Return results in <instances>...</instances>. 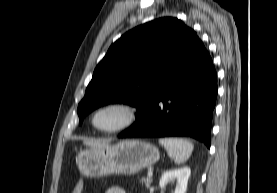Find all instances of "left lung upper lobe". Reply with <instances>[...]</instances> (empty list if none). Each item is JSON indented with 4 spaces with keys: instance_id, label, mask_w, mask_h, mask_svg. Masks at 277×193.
<instances>
[{
    "instance_id": "left-lung-upper-lobe-1",
    "label": "left lung upper lobe",
    "mask_w": 277,
    "mask_h": 193,
    "mask_svg": "<svg viewBox=\"0 0 277 193\" xmlns=\"http://www.w3.org/2000/svg\"><path fill=\"white\" fill-rule=\"evenodd\" d=\"M197 40L191 28L172 17L125 33L97 65L78 105L79 124L92 110L108 103L130 104L139 115L188 58Z\"/></svg>"
}]
</instances>
